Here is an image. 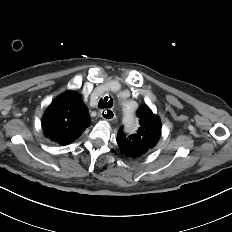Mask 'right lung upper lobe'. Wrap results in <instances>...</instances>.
<instances>
[{"label": "right lung upper lobe", "mask_w": 232, "mask_h": 232, "mask_svg": "<svg viewBox=\"0 0 232 232\" xmlns=\"http://www.w3.org/2000/svg\"><path fill=\"white\" fill-rule=\"evenodd\" d=\"M90 116L81 96L67 91L58 96L42 118L46 138L62 146L74 142L90 124Z\"/></svg>", "instance_id": "cb5924a9"}]
</instances>
